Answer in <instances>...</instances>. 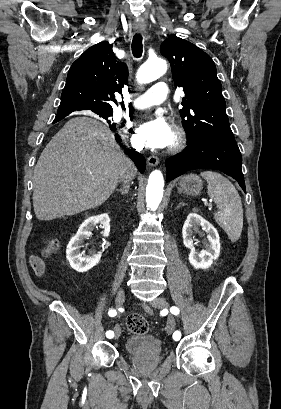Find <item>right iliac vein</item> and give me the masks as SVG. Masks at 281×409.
<instances>
[{"instance_id":"63e3f726","label":"right iliac vein","mask_w":281,"mask_h":409,"mask_svg":"<svg viewBox=\"0 0 281 409\" xmlns=\"http://www.w3.org/2000/svg\"><path fill=\"white\" fill-rule=\"evenodd\" d=\"M124 301H125V291H124V289L121 288L118 291V293L116 295V298H115L116 307L120 308L123 305ZM114 331H115V337L114 338L118 339L120 334H121L120 326L116 325L115 328H114Z\"/></svg>"}]
</instances>
